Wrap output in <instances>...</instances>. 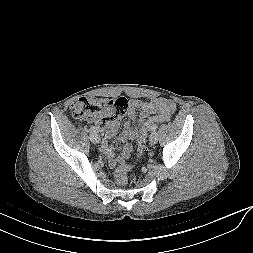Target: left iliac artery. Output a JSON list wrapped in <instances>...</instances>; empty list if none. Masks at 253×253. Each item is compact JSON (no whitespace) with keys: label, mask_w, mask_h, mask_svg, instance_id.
Masks as SVG:
<instances>
[{"label":"left iliac artery","mask_w":253,"mask_h":253,"mask_svg":"<svg viewBox=\"0 0 253 253\" xmlns=\"http://www.w3.org/2000/svg\"><path fill=\"white\" fill-rule=\"evenodd\" d=\"M158 128V125L157 124H153L150 128L151 131L155 132Z\"/></svg>","instance_id":"obj_1"}]
</instances>
